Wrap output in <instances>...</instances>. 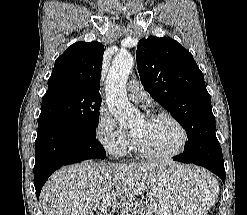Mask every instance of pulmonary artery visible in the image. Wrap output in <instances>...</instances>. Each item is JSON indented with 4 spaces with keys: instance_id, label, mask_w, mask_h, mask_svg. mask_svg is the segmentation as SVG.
<instances>
[{
    "instance_id": "1",
    "label": "pulmonary artery",
    "mask_w": 247,
    "mask_h": 215,
    "mask_svg": "<svg viewBox=\"0 0 247 215\" xmlns=\"http://www.w3.org/2000/svg\"><path fill=\"white\" fill-rule=\"evenodd\" d=\"M128 97L134 102H141L146 97V92L140 82L136 79H131L126 86Z\"/></svg>"
}]
</instances>
